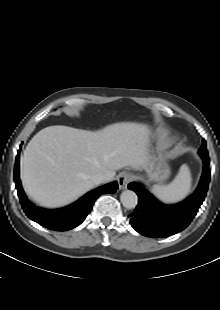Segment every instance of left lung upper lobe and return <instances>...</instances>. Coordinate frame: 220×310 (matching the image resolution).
<instances>
[{
  "mask_svg": "<svg viewBox=\"0 0 220 310\" xmlns=\"http://www.w3.org/2000/svg\"><path fill=\"white\" fill-rule=\"evenodd\" d=\"M199 154L201 158L208 157V152H207L206 143L204 139L202 141V146L199 149Z\"/></svg>",
  "mask_w": 220,
  "mask_h": 310,
  "instance_id": "1",
  "label": "left lung upper lobe"
}]
</instances>
